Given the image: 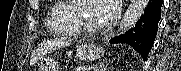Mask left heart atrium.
I'll return each mask as SVG.
<instances>
[{
  "mask_svg": "<svg viewBox=\"0 0 181 71\" xmlns=\"http://www.w3.org/2000/svg\"><path fill=\"white\" fill-rule=\"evenodd\" d=\"M103 8L101 13V21L108 23L112 21L119 12V1L118 0H103Z\"/></svg>",
  "mask_w": 181,
  "mask_h": 71,
  "instance_id": "1",
  "label": "left heart atrium"
}]
</instances>
